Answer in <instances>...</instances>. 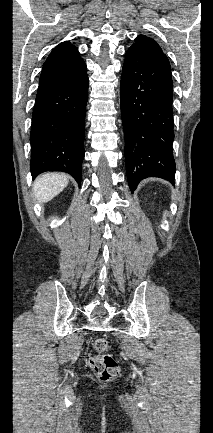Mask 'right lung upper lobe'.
<instances>
[{"instance_id": "right-lung-upper-lobe-1", "label": "right lung upper lobe", "mask_w": 213, "mask_h": 433, "mask_svg": "<svg viewBox=\"0 0 213 433\" xmlns=\"http://www.w3.org/2000/svg\"><path fill=\"white\" fill-rule=\"evenodd\" d=\"M78 49L73 46L69 41H64L57 45L46 59L44 66H48L55 62L69 61L78 59Z\"/></svg>"}]
</instances>
